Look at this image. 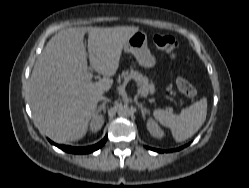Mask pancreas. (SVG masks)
<instances>
[{
  "label": "pancreas",
  "mask_w": 249,
  "mask_h": 188,
  "mask_svg": "<svg viewBox=\"0 0 249 188\" xmlns=\"http://www.w3.org/2000/svg\"><path fill=\"white\" fill-rule=\"evenodd\" d=\"M121 79H123L124 81L133 79L137 83L138 93L142 96H147L148 94H152L155 90L154 85H150L148 79L144 77L140 72L134 70L133 68H131L130 70L123 71L121 73V76L118 77V82H120Z\"/></svg>",
  "instance_id": "cf45deb5"
}]
</instances>
